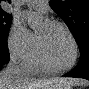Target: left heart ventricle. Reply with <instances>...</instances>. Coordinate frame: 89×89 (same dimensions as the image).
<instances>
[{
	"mask_svg": "<svg viewBox=\"0 0 89 89\" xmlns=\"http://www.w3.org/2000/svg\"><path fill=\"white\" fill-rule=\"evenodd\" d=\"M42 50L53 67H65L73 59L74 49L65 30L52 23H39L36 28Z\"/></svg>",
	"mask_w": 89,
	"mask_h": 89,
	"instance_id": "left-heart-ventricle-1",
	"label": "left heart ventricle"
}]
</instances>
